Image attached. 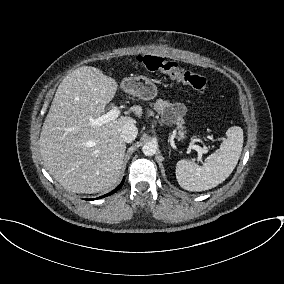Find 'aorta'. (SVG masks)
<instances>
[{"label": "aorta", "instance_id": "aorta-1", "mask_svg": "<svg viewBox=\"0 0 284 284\" xmlns=\"http://www.w3.org/2000/svg\"><path fill=\"white\" fill-rule=\"evenodd\" d=\"M157 151V145L153 142H147L142 147V152L146 156H153Z\"/></svg>", "mask_w": 284, "mask_h": 284}]
</instances>
